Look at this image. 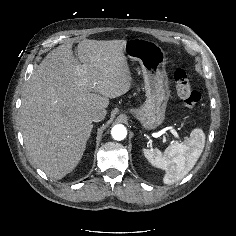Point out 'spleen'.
I'll return each mask as SVG.
<instances>
[{
    "label": "spleen",
    "mask_w": 236,
    "mask_h": 236,
    "mask_svg": "<svg viewBox=\"0 0 236 236\" xmlns=\"http://www.w3.org/2000/svg\"><path fill=\"white\" fill-rule=\"evenodd\" d=\"M204 146L205 134L202 129L196 128L184 142L169 145L164 154L159 149H144V155L153 166L166 171L163 182L173 184L194 167Z\"/></svg>",
    "instance_id": "spleen-1"
}]
</instances>
